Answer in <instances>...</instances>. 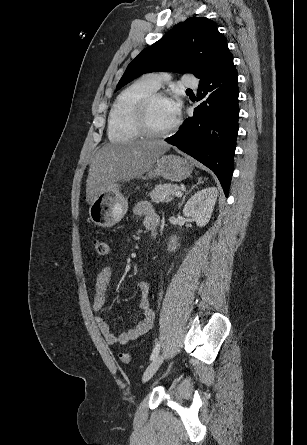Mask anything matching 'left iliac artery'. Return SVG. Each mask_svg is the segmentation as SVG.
<instances>
[{
	"label": "left iliac artery",
	"mask_w": 307,
	"mask_h": 445,
	"mask_svg": "<svg viewBox=\"0 0 307 445\" xmlns=\"http://www.w3.org/2000/svg\"><path fill=\"white\" fill-rule=\"evenodd\" d=\"M159 351H160V344L157 343L156 346L154 347L153 351H152V354L150 356V360H153L158 355Z\"/></svg>",
	"instance_id": "44dca946"
}]
</instances>
